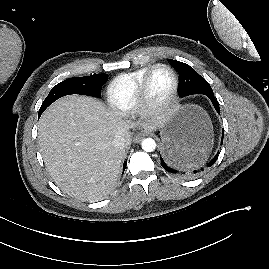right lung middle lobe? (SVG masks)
Masks as SVG:
<instances>
[{
  "label": "right lung middle lobe",
  "instance_id": "right-lung-middle-lobe-1",
  "mask_svg": "<svg viewBox=\"0 0 269 269\" xmlns=\"http://www.w3.org/2000/svg\"><path fill=\"white\" fill-rule=\"evenodd\" d=\"M108 80L106 74H95L85 77L69 78L57 84L48 94L39 110V117L44 110L51 105L54 101L69 94H82L93 97L101 96V88Z\"/></svg>",
  "mask_w": 269,
  "mask_h": 269
}]
</instances>
